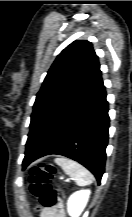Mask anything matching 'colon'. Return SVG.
I'll list each match as a JSON object with an SVG mask.
<instances>
[{
  "instance_id": "colon-1",
  "label": "colon",
  "mask_w": 132,
  "mask_h": 217,
  "mask_svg": "<svg viewBox=\"0 0 132 217\" xmlns=\"http://www.w3.org/2000/svg\"><path fill=\"white\" fill-rule=\"evenodd\" d=\"M56 168L50 164H41L30 171V190L43 208H51L59 205V197L52 186Z\"/></svg>"
}]
</instances>
